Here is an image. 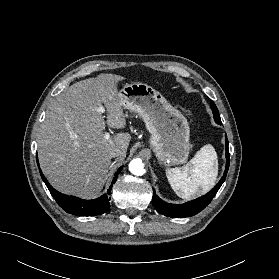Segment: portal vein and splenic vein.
Masks as SVG:
<instances>
[{"label": "portal vein and splenic vein", "instance_id": "1", "mask_svg": "<svg viewBox=\"0 0 279 279\" xmlns=\"http://www.w3.org/2000/svg\"><path fill=\"white\" fill-rule=\"evenodd\" d=\"M99 111L103 113V112L105 111V109H104L103 107H101V108H99ZM104 138H105L106 140H108V139L110 138V133L106 132V133L104 134Z\"/></svg>", "mask_w": 279, "mask_h": 279}]
</instances>
